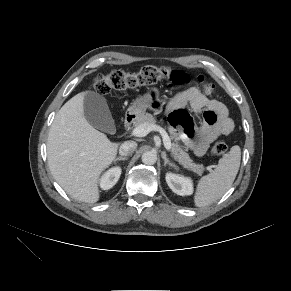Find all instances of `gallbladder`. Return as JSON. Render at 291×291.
Masks as SVG:
<instances>
[{"mask_svg": "<svg viewBox=\"0 0 291 291\" xmlns=\"http://www.w3.org/2000/svg\"><path fill=\"white\" fill-rule=\"evenodd\" d=\"M84 115L93 127L110 134L115 132V123L106 99L98 93L89 91L84 96Z\"/></svg>", "mask_w": 291, "mask_h": 291, "instance_id": "obj_1", "label": "gallbladder"}]
</instances>
